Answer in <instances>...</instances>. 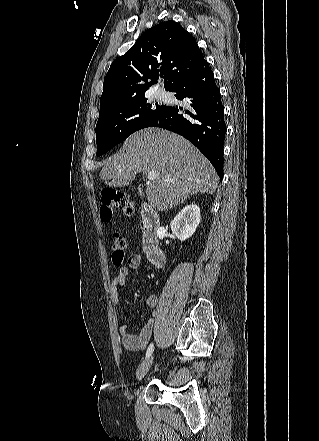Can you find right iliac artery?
<instances>
[{"mask_svg":"<svg viewBox=\"0 0 319 441\" xmlns=\"http://www.w3.org/2000/svg\"><path fill=\"white\" fill-rule=\"evenodd\" d=\"M153 343H151L150 345H149V347H148V349H147V352H146V358H149L150 356H151V354H152V352H153Z\"/></svg>","mask_w":319,"mask_h":441,"instance_id":"right-iliac-artery-1","label":"right iliac artery"}]
</instances>
